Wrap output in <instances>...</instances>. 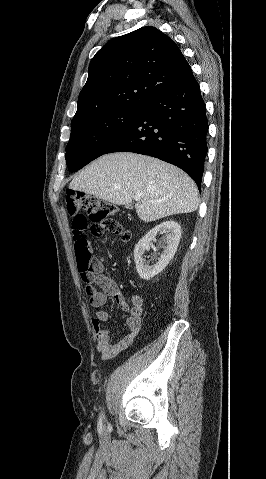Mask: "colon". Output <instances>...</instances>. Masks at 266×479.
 <instances>
[{
	"label": "colon",
	"instance_id": "5ec220e1",
	"mask_svg": "<svg viewBox=\"0 0 266 479\" xmlns=\"http://www.w3.org/2000/svg\"><path fill=\"white\" fill-rule=\"evenodd\" d=\"M65 209L72 218L71 229L77 270L87 296L93 300L98 290L93 283V258L86 231L89 230L93 236L111 234L122 242L130 241L131 233L120 222L111 218L116 212L115 205L96 196L70 190L65 195Z\"/></svg>",
	"mask_w": 266,
	"mask_h": 479
}]
</instances>
